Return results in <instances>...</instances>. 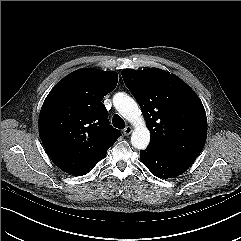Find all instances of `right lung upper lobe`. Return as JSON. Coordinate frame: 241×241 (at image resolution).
Segmentation results:
<instances>
[{
    "label": "right lung upper lobe",
    "mask_w": 241,
    "mask_h": 241,
    "mask_svg": "<svg viewBox=\"0 0 241 241\" xmlns=\"http://www.w3.org/2000/svg\"><path fill=\"white\" fill-rule=\"evenodd\" d=\"M117 82L115 72L80 69L64 77L46 97L39 134L60 169L74 174L100 161L121 135L109 125L101 102Z\"/></svg>",
    "instance_id": "obj_1"
}]
</instances>
